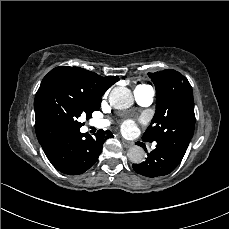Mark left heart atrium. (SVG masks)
<instances>
[{
	"label": "left heart atrium",
	"mask_w": 229,
	"mask_h": 229,
	"mask_svg": "<svg viewBox=\"0 0 229 229\" xmlns=\"http://www.w3.org/2000/svg\"><path fill=\"white\" fill-rule=\"evenodd\" d=\"M119 126L121 131L127 135L134 134L138 131L137 123L131 119L121 121Z\"/></svg>",
	"instance_id": "obj_1"
}]
</instances>
